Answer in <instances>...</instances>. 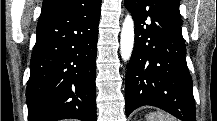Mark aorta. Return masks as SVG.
I'll use <instances>...</instances> for the list:
<instances>
[{
    "label": "aorta",
    "mask_w": 217,
    "mask_h": 121,
    "mask_svg": "<svg viewBox=\"0 0 217 121\" xmlns=\"http://www.w3.org/2000/svg\"><path fill=\"white\" fill-rule=\"evenodd\" d=\"M120 45L121 57L124 61H128L134 47V22L129 14L125 17L123 22Z\"/></svg>",
    "instance_id": "aorta-1"
}]
</instances>
